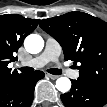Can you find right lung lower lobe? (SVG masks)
<instances>
[{
	"mask_svg": "<svg viewBox=\"0 0 107 107\" xmlns=\"http://www.w3.org/2000/svg\"><path fill=\"white\" fill-rule=\"evenodd\" d=\"M44 77L42 71L30 74L11 75L0 82V103L2 106L29 107L33 101L35 83Z\"/></svg>",
	"mask_w": 107,
	"mask_h": 107,
	"instance_id": "right-lung-lower-lobe-1",
	"label": "right lung lower lobe"
}]
</instances>
